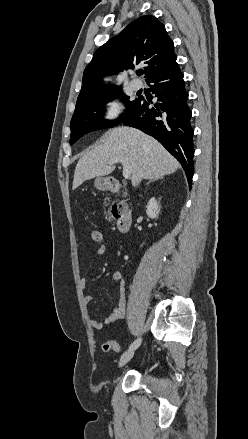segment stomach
Instances as JSON below:
<instances>
[{"mask_svg": "<svg viewBox=\"0 0 248 439\" xmlns=\"http://www.w3.org/2000/svg\"><path fill=\"white\" fill-rule=\"evenodd\" d=\"M95 187L99 190H105L108 188L109 186V178H105V177H97L95 179Z\"/></svg>", "mask_w": 248, "mask_h": 439, "instance_id": "stomach-1", "label": "stomach"}]
</instances>
